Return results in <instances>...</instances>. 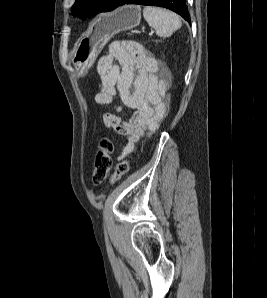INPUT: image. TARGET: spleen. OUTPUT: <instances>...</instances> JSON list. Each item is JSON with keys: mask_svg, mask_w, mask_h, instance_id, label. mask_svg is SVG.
<instances>
[{"mask_svg": "<svg viewBox=\"0 0 267 298\" xmlns=\"http://www.w3.org/2000/svg\"><path fill=\"white\" fill-rule=\"evenodd\" d=\"M143 16L160 37H169L182 26L179 16L167 9L146 6L143 9Z\"/></svg>", "mask_w": 267, "mask_h": 298, "instance_id": "spleen-1", "label": "spleen"}]
</instances>
